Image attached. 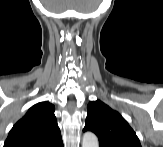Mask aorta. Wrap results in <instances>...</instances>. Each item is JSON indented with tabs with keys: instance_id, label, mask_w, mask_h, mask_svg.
Masks as SVG:
<instances>
[{
	"instance_id": "1",
	"label": "aorta",
	"mask_w": 163,
	"mask_h": 147,
	"mask_svg": "<svg viewBox=\"0 0 163 147\" xmlns=\"http://www.w3.org/2000/svg\"><path fill=\"white\" fill-rule=\"evenodd\" d=\"M99 142L96 135L92 132H86L83 135L82 147H98Z\"/></svg>"
}]
</instances>
